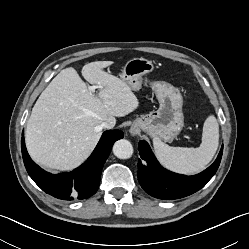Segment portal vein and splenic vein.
Masks as SVG:
<instances>
[{
  "mask_svg": "<svg viewBox=\"0 0 249 249\" xmlns=\"http://www.w3.org/2000/svg\"><path fill=\"white\" fill-rule=\"evenodd\" d=\"M99 86H91L89 89L94 92L96 88H98ZM100 88V87H99Z\"/></svg>",
  "mask_w": 249,
  "mask_h": 249,
  "instance_id": "obj_1",
  "label": "portal vein and splenic vein"
}]
</instances>
